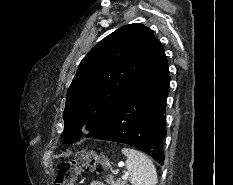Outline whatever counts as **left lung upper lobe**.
<instances>
[{
  "label": "left lung upper lobe",
  "mask_w": 233,
  "mask_h": 185,
  "mask_svg": "<svg viewBox=\"0 0 233 185\" xmlns=\"http://www.w3.org/2000/svg\"><path fill=\"white\" fill-rule=\"evenodd\" d=\"M164 55L153 31L142 24L125 25L101 40L83 58L67 91L63 141L75 142L83 126L92 132L103 125Z\"/></svg>",
  "instance_id": "obj_1"
}]
</instances>
